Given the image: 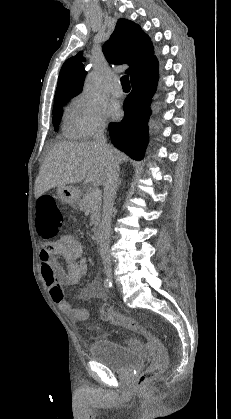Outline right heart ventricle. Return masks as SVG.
Here are the masks:
<instances>
[{
    "label": "right heart ventricle",
    "instance_id": "1",
    "mask_svg": "<svg viewBox=\"0 0 231 419\" xmlns=\"http://www.w3.org/2000/svg\"><path fill=\"white\" fill-rule=\"evenodd\" d=\"M63 133L68 138H75V132L71 123L69 112L67 113L64 124H63Z\"/></svg>",
    "mask_w": 231,
    "mask_h": 419
}]
</instances>
